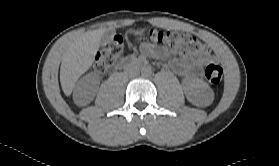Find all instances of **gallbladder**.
<instances>
[{
	"mask_svg": "<svg viewBox=\"0 0 279 166\" xmlns=\"http://www.w3.org/2000/svg\"><path fill=\"white\" fill-rule=\"evenodd\" d=\"M113 37H114V31L112 30L106 31L101 37L100 44L101 45L110 44L113 41Z\"/></svg>",
	"mask_w": 279,
	"mask_h": 166,
	"instance_id": "bac80fb5",
	"label": "gallbladder"
}]
</instances>
